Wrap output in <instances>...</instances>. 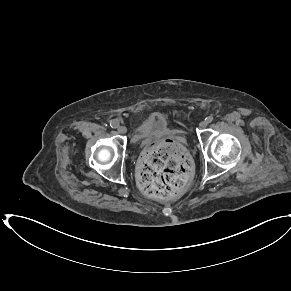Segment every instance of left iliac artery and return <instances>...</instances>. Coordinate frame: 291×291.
Masks as SVG:
<instances>
[{"mask_svg": "<svg viewBox=\"0 0 291 291\" xmlns=\"http://www.w3.org/2000/svg\"><path fill=\"white\" fill-rule=\"evenodd\" d=\"M214 117L212 115L208 116L207 118H205V120L207 121V123H211L213 121Z\"/></svg>", "mask_w": 291, "mask_h": 291, "instance_id": "obj_1", "label": "left iliac artery"}]
</instances>
